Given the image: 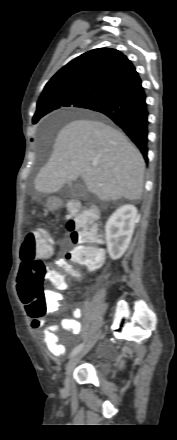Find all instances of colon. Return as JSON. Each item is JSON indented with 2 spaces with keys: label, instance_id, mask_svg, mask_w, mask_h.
I'll use <instances>...</instances> for the list:
<instances>
[{
  "label": "colon",
  "instance_id": "5ec220e1",
  "mask_svg": "<svg viewBox=\"0 0 177 440\" xmlns=\"http://www.w3.org/2000/svg\"><path fill=\"white\" fill-rule=\"evenodd\" d=\"M67 229L74 248L67 252L68 262H57V267H50L43 257L53 247L51 237L40 228L27 232L20 249L22 266L18 280V292L28 313L35 318L42 317L48 305L45 302L47 292L44 285L51 281L64 287L67 278L78 276V267L99 268L103 263V249L97 243L104 241L101 225L96 223L98 212L93 207L81 208L79 203L68 205Z\"/></svg>",
  "mask_w": 177,
  "mask_h": 440
}]
</instances>
